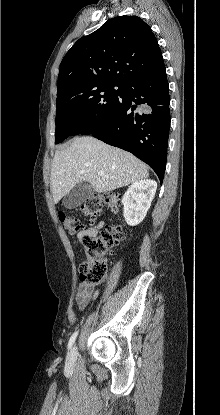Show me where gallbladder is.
<instances>
[{
	"mask_svg": "<svg viewBox=\"0 0 220 415\" xmlns=\"http://www.w3.org/2000/svg\"><path fill=\"white\" fill-rule=\"evenodd\" d=\"M94 194L93 186L87 181H82L72 188L63 198V205L67 209H74Z\"/></svg>",
	"mask_w": 220,
	"mask_h": 415,
	"instance_id": "bac80fb5",
	"label": "gallbladder"
}]
</instances>
